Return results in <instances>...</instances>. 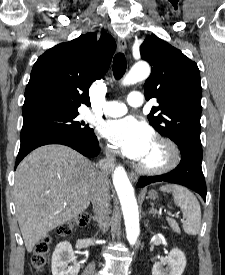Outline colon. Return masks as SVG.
<instances>
[{"label":"colon","instance_id":"colon-1","mask_svg":"<svg viewBox=\"0 0 225 275\" xmlns=\"http://www.w3.org/2000/svg\"><path fill=\"white\" fill-rule=\"evenodd\" d=\"M88 221H89L88 214L81 213L77 216V218L73 222L62 225L59 229V234L68 235L74 229L85 226ZM50 244H51L50 237H45L36 244V247L31 259L32 265L34 266V268L41 269L45 266V264L47 263L48 254L50 251Z\"/></svg>","mask_w":225,"mask_h":275}]
</instances>
